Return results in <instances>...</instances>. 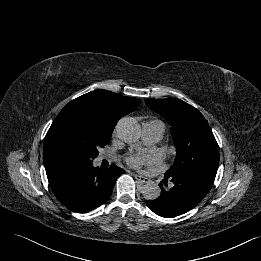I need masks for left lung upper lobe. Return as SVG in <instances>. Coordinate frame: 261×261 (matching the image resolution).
Instances as JSON below:
<instances>
[{
  "label": "left lung upper lobe",
  "mask_w": 261,
  "mask_h": 261,
  "mask_svg": "<svg viewBox=\"0 0 261 261\" xmlns=\"http://www.w3.org/2000/svg\"><path fill=\"white\" fill-rule=\"evenodd\" d=\"M145 103L172 126L171 133L177 155L165 176L199 172L215 178L219 166V147L199 110L174 98L146 99Z\"/></svg>",
  "instance_id": "5c2ea615"
}]
</instances>
